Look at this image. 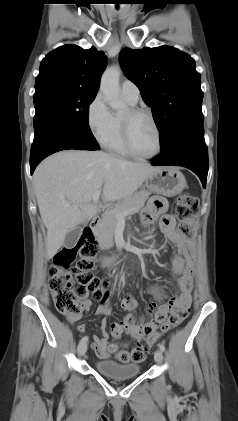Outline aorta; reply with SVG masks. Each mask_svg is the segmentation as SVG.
<instances>
[{"label":"aorta","mask_w":238,"mask_h":421,"mask_svg":"<svg viewBox=\"0 0 238 421\" xmlns=\"http://www.w3.org/2000/svg\"><path fill=\"white\" fill-rule=\"evenodd\" d=\"M120 74L119 66L109 67L104 71L100 82V91L114 110L125 108V104L120 99Z\"/></svg>","instance_id":"762f6f07"}]
</instances>
